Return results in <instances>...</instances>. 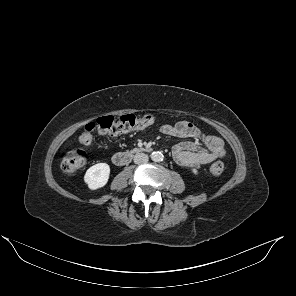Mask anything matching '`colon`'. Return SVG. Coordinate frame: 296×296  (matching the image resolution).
Instances as JSON below:
<instances>
[{
	"label": "colon",
	"mask_w": 296,
	"mask_h": 296,
	"mask_svg": "<svg viewBox=\"0 0 296 296\" xmlns=\"http://www.w3.org/2000/svg\"><path fill=\"white\" fill-rule=\"evenodd\" d=\"M156 117L151 114L136 116L134 114L123 115L119 118L113 116H103L94 122L87 124L80 135V141L90 144L96 135H117L132 130L142 129L152 125ZM87 163V154L80 149H72L66 152L62 158V169L67 174H74L83 168ZM224 171V164L213 163L209 172L213 176H219Z\"/></svg>",
	"instance_id": "colon-1"
}]
</instances>
